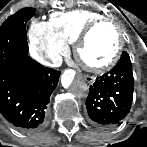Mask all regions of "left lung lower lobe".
<instances>
[{"mask_svg":"<svg viewBox=\"0 0 147 147\" xmlns=\"http://www.w3.org/2000/svg\"><path fill=\"white\" fill-rule=\"evenodd\" d=\"M134 79L129 55L123 52L118 63L90 86L86 100L89 122L98 128H110L129 113Z\"/></svg>","mask_w":147,"mask_h":147,"instance_id":"left-lung-lower-lobe-1","label":"left lung lower lobe"}]
</instances>
